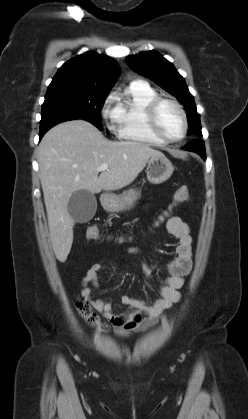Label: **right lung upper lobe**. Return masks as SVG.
I'll use <instances>...</instances> for the list:
<instances>
[{"mask_svg": "<svg viewBox=\"0 0 248 419\" xmlns=\"http://www.w3.org/2000/svg\"><path fill=\"white\" fill-rule=\"evenodd\" d=\"M119 73L115 60L89 51L65 62L48 89L66 88L108 94Z\"/></svg>", "mask_w": 248, "mask_h": 419, "instance_id": "cb5924a9", "label": "right lung upper lobe"}]
</instances>
